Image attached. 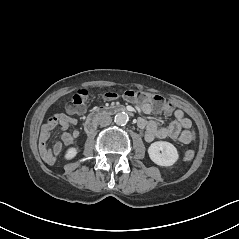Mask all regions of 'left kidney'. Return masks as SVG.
I'll return each mask as SVG.
<instances>
[{
    "mask_svg": "<svg viewBox=\"0 0 239 239\" xmlns=\"http://www.w3.org/2000/svg\"><path fill=\"white\" fill-rule=\"evenodd\" d=\"M150 159L160 166H171L179 158L175 146L166 141H157L148 148Z\"/></svg>",
    "mask_w": 239,
    "mask_h": 239,
    "instance_id": "5707ae66",
    "label": "left kidney"
}]
</instances>
